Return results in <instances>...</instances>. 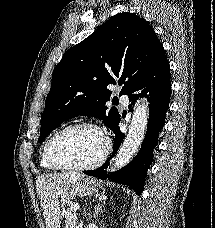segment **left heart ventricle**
<instances>
[{
  "instance_id": "obj_1",
  "label": "left heart ventricle",
  "mask_w": 215,
  "mask_h": 228,
  "mask_svg": "<svg viewBox=\"0 0 215 228\" xmlns=\"http://www.w3.org/2000/svg\"><path fill=\"white\" fill-rule=\"evenodd\" d=\"M104 149V138L93 129L77 128L61 135L52 148L54 161L80 166L93 162Z\"/></svg>"
}]
</instances>
